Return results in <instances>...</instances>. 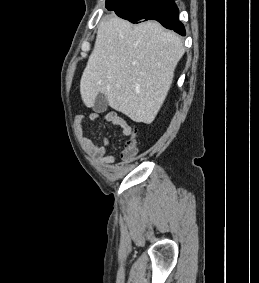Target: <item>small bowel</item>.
<instances>
[{"instance_id": "small-bowel-1", "label": "small bowel", "mask_w": 259, "mask_h": 283, "mask_svg": "<svg viewBox=\"0 0 259 283\" xmlns=\"http://www.w3.org/2000/svg\"><path fill=\"white\" fill-rule=\"evenodd\" d=\"M89 121L97 122L100 120V115L97 112H93L88 116ZM103 120L107 123H111L122 129L125 136H131L133 134L132 127L126 122V120L114 112H108L103 116ZM88 147L91 153L99 155L105 164H111L114 157L110 154V142L107 139L100 141L90 140ZM125 166L120 165L116 168V172L121 174L125 171Z\"/></svg>"}]
</instances>
